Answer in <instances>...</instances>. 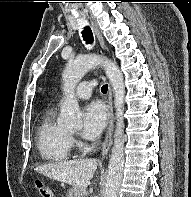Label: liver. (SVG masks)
<instances>
[{
    "instance_id": "liver-1",
    "label": "liver",
    "mask_w": 191,
    "mask_h": 197,
    "mask_svg": "<svg viewBox=\"0 0 191 197\" xmlns=\"http://www.w3.org/2000/svg\"><path fill=\"white\" fill-rule=\"evenodd\" d=\"M96 168L97 160L88 158L44 164L36 167L35 171L85 192Z\"/></svg>"
}]
</instances>
